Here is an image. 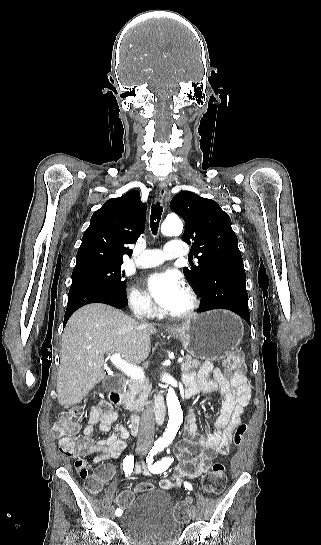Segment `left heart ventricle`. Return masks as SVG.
Returning <instances> with one entry per match:
<instances>
[{"label": "left heart ventricle", "mask_w": 321, "mask_h": 545, "mask_svg": "<svg viewBox=\"0 0 321 545\" xmlns=\"http://www.w3.org/2000/svg\"><path fill=\"white\" fill-rule=\"evenodd\" d=\"M190 304H191V301L188 294L184 291V289H182L170 313L183 312L190 307Z\"/></svg>", "instance_id": "obj_1"}]
</instances>
